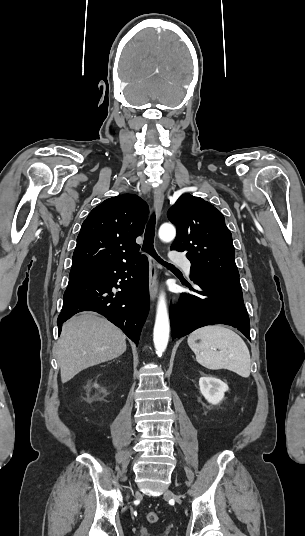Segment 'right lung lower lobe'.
Masks as SVG:
<instances>
[{"label": "right lung lower lobe", "mask_w": 305, "mask_h": 536, "mask_svg": "<svg viewBox=\"0 0 305 536\" xmlns=\"http://www.w3.org/2000/svg\"><path fill=\"white\" fill-rule=\"evenodd\" d=\"M119 279L120 285H117ZM113 287L121 291L115 294ZM81 311L102 314L138 344L149 311L147 257L140 255L133 260L70 276L57 320L59 333L60 325Z\"/></svg>", "instance_id": "right-lung-lower-lobe-1"}]
</instances>
